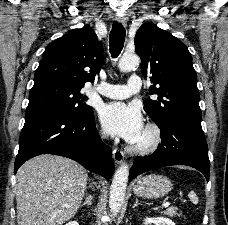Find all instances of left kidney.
Wrapping results in <instances>:
<instances>
[{"mask_svg": "<svg viewBox=\"0 0 228 225\" xmlns=\"http://www.w3.org/2000/svg\"><path fill=\"white\" fill-rule=\"evenodd\" d=\"M151 223H154V225H175L173 221L165 219V217H153V219H145L144 221V225H151Z\"/></svg>", "mask_w": 228, "mask_h": 225, "instance_id": "5707ae66", "label": "left kidney"}]
</instances>
